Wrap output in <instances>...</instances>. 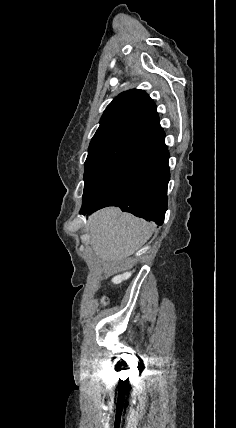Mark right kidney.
I'll return each mask as SVG.
<instances>
[{"label":"right kidney","mask_w":236,"mask_h":428,"mask_svg":"<svg viewBox=\"0 0 236 428\" xmlns=\"http://www.w3.org/2000/svg\"><path fill=\"white\" fill-rule=\"evenodd\" d=\"M130 276H131V272H125V274H121V276H116L113 282L114 284H119V282H122V280H128ZM109 282L111 283L112 281L110 280ZM121 288L123 289L124 287L122 286Z\"/></svg>","instance_id":"1"}]
</instances>
